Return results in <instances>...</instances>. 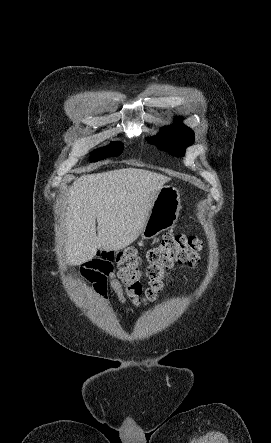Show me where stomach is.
<instances>
[{
    "label": "stomach",
    "instance_id": "stomach-1",
    "mask_svg": "<svg viewBox=\"0 0 271 443\" xmlns=\"http://www.w3.org/2000/svg\"><path fill=\"white\" fill-rule=\"evenodd\" d=\"M181 210L179 190L173 186H163L156 194L149 216L140 233L142 239H151L165 229H171L177 222Z\"/></svg>",
    "mask_w": 271,
    "mask_h": 443
}]
</instances>
